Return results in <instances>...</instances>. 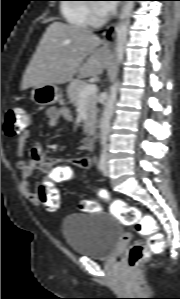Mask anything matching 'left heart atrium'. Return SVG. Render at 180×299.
<instances>
[{
	"mask_svg": "<svg viewBox=\"0 0 180 299\" xmlns=\"http://www.w3.org/2000/svg\"><path fill=\"white\" fill-rule=\"evenodd\" d=\"M108 2H113V1H108ZM116 4L114 3H102L99 5V11L104 14H110L111 12H113L115 10Z\"/></svg>",
	"mask_w": 180,
	"mask_h": 299,
	"instance_id": "left-heart-atrium-1",
	"label": "left heart atrium"
}]
</instances>
